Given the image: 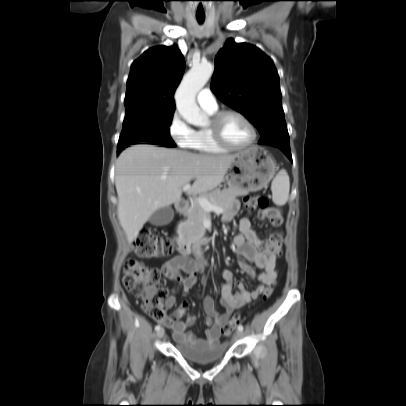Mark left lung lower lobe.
<instances>
[{
  "instance_id": "left-lung-lower-lobe-1",
  "label": "left lung lower lobe",
  "mask_w": 406,
  "mask_h": 406,
  "mask_svg": "<svg viewBox=\"0 0 406 406\" xmlns=\"http://www.w3.org/2000/svg\"><path fill=\"white\" fill-rule=\"evenodd\" d=\"M275 147L280 148V150H282L287 155V157L292 161L290 146L276 145Z\"/></svg>"
}]
</instances>
